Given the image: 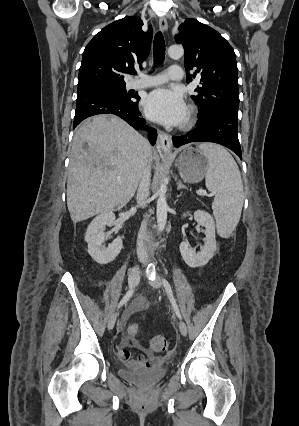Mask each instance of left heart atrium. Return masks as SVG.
Listing matches in <instances>:
<instances>
[{"label": "left heart atrium", "instance_id": "left-heart-atrium-1", "mask_svg": "<svg viewBox=\"0 0 299 426\" xmlns=\"http://www.w3.org/2000/svg\"><path fill=\"white\" fill-rule=\"evenodd\" d=\"M146 116L164 125L182 124L187 117V107L178 91L158 88L151 91L144 100Z\"/></svg>", "mask_w": 299, "mask_h": 426}]
</instances>
